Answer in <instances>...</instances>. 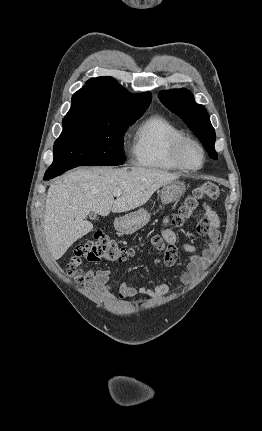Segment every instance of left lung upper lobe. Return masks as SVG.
<instances>
[{
    "label": "left lung upper lobe",
    "instance_id": "5c2ea615",
    "mask_svg": "<svg viewBox=\"0 0 262 431\" xmlns=\"http://www.w3.org/2000/svg\"><path fill=\"white\" fill-rule=\"evenodd\" d=\"M161 102L173 113L177 114L194 132L209 156L217 159L214 149L215 130L204 106L197 104L193 95L186 89H174L159 93Z\"/></svg>",
    "mask_w": 262,
    "mask_h": 431
}]
</instances>
